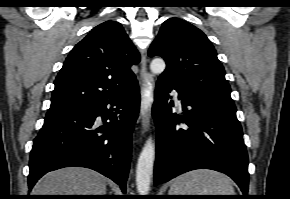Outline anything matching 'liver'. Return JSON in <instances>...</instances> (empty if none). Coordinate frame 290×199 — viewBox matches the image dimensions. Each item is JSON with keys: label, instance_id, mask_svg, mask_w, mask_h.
<instances>
[{"label": "liver", "instance_id": "obj_1", "mask_svg": "<svg viewBox=\"0 0 290 199\" xmlns=\"http://www.w3.org/2000/svg\"><path fill=\"white\" fill-rule=\"evenodd\" d=\"M33 195H105L106 178L86 168L49 172L34 186Z\"/></svg>", "mask_w": 290, "mask_h": 199}]
</instances>
